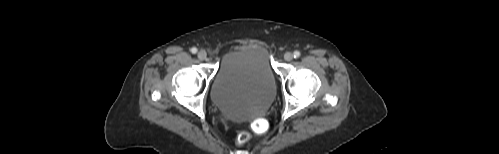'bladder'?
Returning a JSON list of instances; mask_svg holds the SVG:
<instances>
[{
	"instance_id": "31cf9c89",
	"label": "bladder",
	"mask_w": 499,
	"mask_h": 154,
	"mask_svg": "<svg viewBox=\"0 0 499 154\" xmlns=\"http://www.w3.org/2000/svg\"><path fill=\"white\" fill-rule=\"evenodd\" d=\"M276 90L268 48L259 43L241 44L228 51L219 64L211 97L231 117L245 118L262 114Z\"/></svg>"
}]
</instances>
